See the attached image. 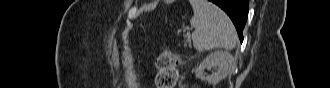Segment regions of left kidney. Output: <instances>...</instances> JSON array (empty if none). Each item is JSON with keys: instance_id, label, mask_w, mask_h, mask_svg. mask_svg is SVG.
<instances>
[{"instance_id": "5707ae66", "label": "left kidney", "mask_w": 330, "mask_h": 88, "mask_svg": "<svg viewBox=\"0 0 330 88\" xmlns=\"http://www.w3.org/2000/svg\"><path fill=\"white\" fill-rule=\"evenodd\" d=\"M234 65V57L229 52L215 51L203 60L200 68L197 70V76L210 84H217L228 76ZM204 69H213L212 74L204 76L202 73Z\"/></svg>"}]
</instances>
